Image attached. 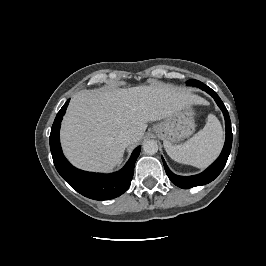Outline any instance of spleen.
<instances>
[{"instance_id":"1","label":"spleen","mask_w":266,"mask_h":266,"mask_svg":"<svg viewBox=\"0 0 266 266\" xmlns=\"http://www.w3.org/2000/svg\"><path fill=\"white\" fill-rule=\"evenodd\" d=\"M223 145V130L213 114L207 117L206 125L184 144H164L167 154L176 162L198 168L208 166L219 155Z\"/></svg>"}]
</instances>
